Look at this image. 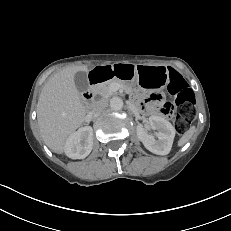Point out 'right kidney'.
Masks as SVG:
<instances>
[{
    "mask_svg": "<svg viewBox=\"0 0 231 231\" xmlns=\"http://www.w3.org/2000/svg\"><path fill=\"white\" fill-rule=\"evenodd\" d=\"M93 129L85 126L71 134L66 141L65 154L72 159H84L92 151Z\"/></svg>",
    "mask_w": 231,
    "mask_h": 231,
    "instance_id": "obj_1",
    "label": "right kidney"
}]
</instances>
